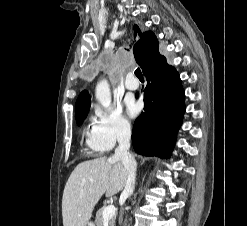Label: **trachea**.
<instances>
[{
  "instance_id": "obj_1",
  "label": "trachea",
  "mask_w": 247,
  "mask_h": 226,
  "mask_svg": "<svg viewBox=\"0 0 247 226\" xmlns=\"http://www.w3.org/2000/svg\"><path fill=\"white\" fill-rule=\"evenodd\" d=\"M135 75L140 79L143 78L142 72L139 68L135 70Z\"/></svg>"
}]
</instances>
